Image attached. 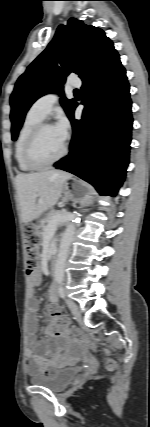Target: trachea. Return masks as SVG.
Segmentation results:
<instances>
[{
    "label": "trachea",
    "mask_w": 150,
    "mask_h": 427,
    "mask_svg": "<svg viewBox=\"0 0 150 427\" xmlns=\"http://www.w3.org/2000/svg\"><path fill=\"white\" fill-rule=\"evenodd\" d=\"M74 92H79V91L77 89H75Z\"/></svg>",
    "instance_id": "trachea-1"
}]
</instances>
